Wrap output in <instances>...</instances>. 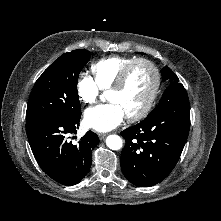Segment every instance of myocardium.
<instances>
[{
  "label": "myocardium",
  "mask_w": 221,
  "mask_h": 221,
  "mask_svg": "<svg viewBox=\"0 0 221 221\" xmlns=\"http://www.w3.org/2000/svg\"><path fill=\"white\" fill-rule=\"evenodd\" d=\"M139 64H144L151 69V71L153 73V77H154V82H153L151 94H150L146 104L143 106V108L140 111H138L137 113L127 116V120L130 122H136V121L142 120L143 118H145L149 114V112L153 108V106L157 100V97L159 95L160 87H161V74H160L159 68L157 67V65L154 62H152L149 59L137 58L124 67V69L118 75L114 84L109 89V92L122 90L128 80V77H129L131 71L133 70V68L135 66H137Z\"/></svg>",
  "instance_id": "1"
}]
</instances>
